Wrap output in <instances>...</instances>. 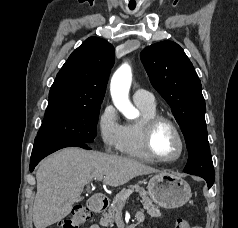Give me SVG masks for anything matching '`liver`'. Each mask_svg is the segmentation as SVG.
Listing matches in <instances>:
<instances>
[{
	"mask_svg": "<svg viewBox=\"0 0 238 228\" xmlns=\"http://www.w3.org/2000/svg\"><path fill=\"white\" fill-rule=\"evenodd\" d=\"M158 172L127 157L76 147L62 149L44 159L37 168L34 226L46 228L69 215L84 186L93 179L103 177L104 184L117 187L136 176Z\"/></svg>",
	"mask_w": 238,
	"mask_h": 228,
	"instance_id": "obj_1",
	"label": "liver"
}]
</instances>
